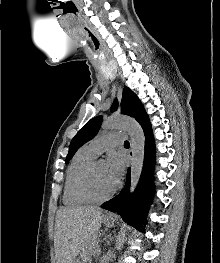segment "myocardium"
Wrapping results in <instances>:
<instances>
[{
    "instance_id": "myocardium-1",
    "label": "myocardium",
    "mask_w": 220,
    "mask_h": 263,
    "mask_svg": "<svg viewBox=\"0 0 220 263\" xmlns=\"http://www.w3.org/2000/svg\"><path fill=\"white\" fill-rule=\"evenodd\" d=\"M97 161H92L87 168L84 170L81 179H80V191L81 193L87 197L91 202H101L105 201L109 198H111L115 192L118 189V185L115 184V186L106 194L99 195L94 191L93 185H92V176L94 167Z\"/></svg>"
}]
</instances>
